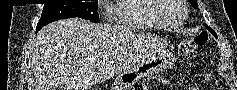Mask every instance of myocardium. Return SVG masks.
<instances>
[{
  "instance_id": "obj_1",
  "label": "myocardium",
  "mask_w": 237,
  "mask_h": 90,
  "mask_svg": "<svg viewBox=\"0 0 237 90\" xmlns=\"http://www.w3.org/2000/svg\"><path fill=\"white\" fill-rule=\"evenodd\" d=\"M153 3H156L158 8H153V11H150V14H152V18H155L162 29L166 31H179L182 29L188 15L187 0H153ZM180 11H182V19L176 25L168 26L160 19L162 15H167L168 12Z\"/></svg>"
}]
</instances>
